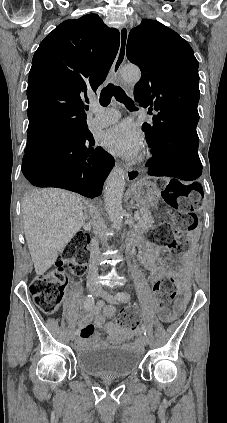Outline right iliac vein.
<instances>
[{"label":"right iliac vein","mask_w":227,"mask_h":423,"mask_svg":"<svg viewBox=\"0 0 227 423\" xmlns=\"http://www.w3.org/2000/svg\"><path fill=\"white\" fill-rule=\"evenodd\" d=\"M88 291L90 294L94 295V296H99L100 295V290L94 287H88ZM76 338V334L75 333H71L70 334V339L74 340Z\"/></svg>","instance_id":"1"}]
</instances>
